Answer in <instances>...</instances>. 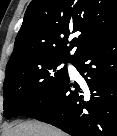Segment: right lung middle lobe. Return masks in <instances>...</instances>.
I'll return each mask as SVG.
<instances>
[{
    "label": "right lung middle lobe",
    "instance_id": "right-lung-middle-lobe-1",
    "mask_svg": "<svg viewBox=\"0 0 117 136\" xmlns=\"http://www.w3.org/2000/svg\"><path fill=\"white\" fill-rule=\"evenodd\" d=\"M73 61L33 55L8 63L3 84L4 117H14L27 102L57 87L68 76L67 66L61 64Z\"/></svg>",
    "mask_w": 117,
    "mask_h": 136
}]
</instances>
